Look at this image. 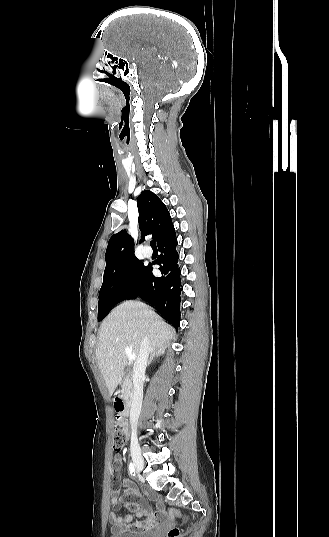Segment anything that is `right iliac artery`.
I'll return each mask as SVG.
<instances>
[{"instance_id":"right-iliac-artery-1","label":"right iliac artery","mask_w":329,"mask_h":537,"mask_svg":"<svg viewBox=\"0 0 329 537\" xmlns=\"http://www.w3.org/2000/svg\"><path fill=\"white\" fill-rule=\"evenodd\" d=\"M129 472H130L131 476H135V467H134L133 463L129 464Z\"/></svg>"}]
</instances>
